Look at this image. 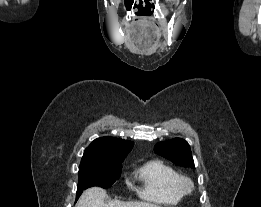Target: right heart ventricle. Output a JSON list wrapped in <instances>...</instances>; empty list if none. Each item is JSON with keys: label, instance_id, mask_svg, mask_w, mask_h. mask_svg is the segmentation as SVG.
<instances>
[{"label": "right heart ventricle", "instance_id": "right-heart-ventricle-1", "mask_svg": "<svg viewBox=\"0 0 261 207\" xmlns=\"http://www.w3.org/2000/svg\"><path fill=\"white\" fill-rule=\"evenodd\" d=\"M136 175L142 183L139 195L147 201L176 205L184 196L179 186L181 176L164 161L149 160L136 170Z\"/></svg>", "mask_w": 261, "mask_h": 207}]
</instances>
